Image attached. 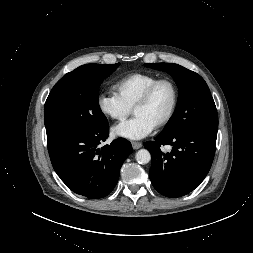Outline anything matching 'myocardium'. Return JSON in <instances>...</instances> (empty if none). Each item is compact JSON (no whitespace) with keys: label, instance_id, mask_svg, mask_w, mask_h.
I'll return each mask as SVG.
<instances>
[{"label":"myocardium","instance_id":"obj_1","mask_svg":"<svg viewBox=\"0 0 253 253\" xmlns=\"http://www.w3.org/2000/svg\"><path fill=\"white\" fill-rule=\"evenodd\" d=\"M163 83H167L170 85L172 89V93H173V98H172V103H171L169 111L167 112L165 117L155 126L156 129H161L165 127L166 125H168L170 121L172 120V118L174 117L175 112L177 110L178 102H179V90L175 81L171 78L157 79L143 92V94L139 97V99L136 101V103L133 106V111H134L135 108H137L138 106H142L146 104L152 97L157 87Z\"/></svg>","mask_w":253,"mask_h":253}]
</instances>
